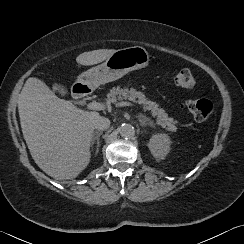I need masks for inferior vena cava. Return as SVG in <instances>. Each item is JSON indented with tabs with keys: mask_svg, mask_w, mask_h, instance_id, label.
Returning a JSON list of instances; mask_svg holds the SVG:
<instances>
[{
	"mask_svg": "<svg viewBox=\"0 0 244 244\" xmlns=\"http://www.w3.org/2000/svg\"><path fill=\"white\" fill-rule=\"evenodd\" d=\"M110 124H111L110 120L103 116H97L93 120V126L97 130H106L110 127Z\"/></svg>",
	"mask_w": 244,
	"mask_h": 244,
	"instance_id": "obj_1",
	"label": "inferior vena cava"
}]
</instances>
